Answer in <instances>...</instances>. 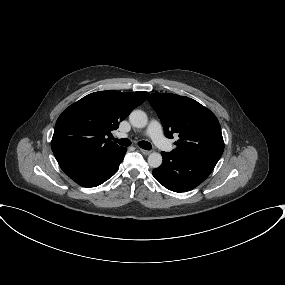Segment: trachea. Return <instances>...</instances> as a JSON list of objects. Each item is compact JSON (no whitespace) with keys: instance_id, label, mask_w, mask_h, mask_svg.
Instances as JSON below:
<instances>
[{"instance_id":"trachea-1","label":"trachea","mask_w":285,"mask_h":285,"mask_svg":"<svg viewBox=\"0 0 285 285\" xmlns=\"http://www.w3.org/2000/svg\"><path fill=\"white\" fill-rule=\"evenodd\" d=\"M115 142H117L119 145L122 146H130L131 145V141L127 138H123V139H114L112 138ZM139 147H141L142 149L145 150H151L152 146L149 142L147 141H140L138 143Z\"/></svg>"}]
</instances>
